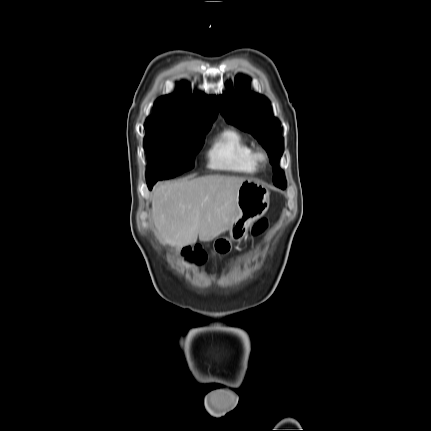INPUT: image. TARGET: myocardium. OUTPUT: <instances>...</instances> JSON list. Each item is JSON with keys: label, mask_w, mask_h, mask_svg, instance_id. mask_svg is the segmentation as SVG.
<instances>
[{"label": "myocardium", "mask_w": 431, "mask_h": 431, "mask_svg": "<svg viewBox=\"0 0 431 431\" xmlns=\"http://www.w3.org/2000/svg\"><path fill=\"white\" fill-rule=\"evenodd\" d=\"M254 159L257 163H265L268 160V155L263 149H255L254 150Z\"/></svg>", "instance_id": "f54148a6"}]
</instances>
